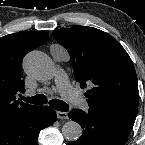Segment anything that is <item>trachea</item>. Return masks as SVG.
Segmentation results:
<instances>
[{
  "instance_id": "trachea-1",
  "label": "trachea",
  "mask_w": 145,
  "mask_h": 145,
  "mask_svg": "<svg viewBox=\"0 0 145 145\" xmlns=\"http://www.w3.org/2000/svg\"><path fill=\"white\" fill-rule=\"evenodd\" d=\"M22 100L25 102L31 103V104H36V105H41V104H46L47 103V98L43 94H38L33 97H22ZM50 106H52L54 109L58 111H68L69 106L61 100L58 99H52L49 101Z\"/></svg>"
}]
</instances>
